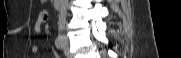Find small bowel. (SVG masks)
Returning <instances> with one entry per match:
<instances>
[{
    "instance_id": "c3829d8e",
    "label": "small bowel",
    "mask_w": 181,
    "mask_h": 58,
    "mask_svg": "<svg viewBox=\"0 0 181 58\" xmlns=\"http://www.w3.org/2000/svg\"><path fill=\"white\" fill-rule=\"evenodd\" d=\"M47 17H48V16H47V13H46L45 11H42V12L40 13V16H39V18H38V21H37V23H36V25H35V30H36V32H40V31H41V24L47 20ZM39 51H40V47H39V46H34V47L32 48V52H33L34 54L38 53Z\"/></svg>"
}]
</instances>
